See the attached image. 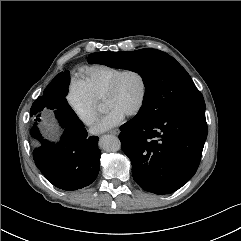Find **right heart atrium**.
<instances>
[{
	"label": "right heart atrium",
	"instance_id": "d8ad5b80",
	"mask_svg": "<svg viewBox=\"0 0 241 241\" xmlns=\"http://www.w3.org/2000/svg\"><path fill=\"white\" fill-rule=\"evenodd\" d=\"M66 102L75 117L84 125L91 126L98 119L96 100L80 80L71 81L66 93Z\"/></svg>",
	"mask_w": 241,
	"mask_h": 241
}]
</instances>
